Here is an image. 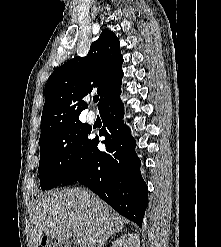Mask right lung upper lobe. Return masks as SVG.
<instances>
[{
    "instance_id": "1",
    "label": "right lung upper lobe",
    "mask_w": 221,
    "mask_h": 247,
    "mask_svg": "<svg viewBox=\"0 0 221 247\" xmlns=\"http://www.w3.org/2000/svg\"><path fill=\"white\" fill-rule=\"evenodd\" d=\"M123 57L114 32L103 30L91 44L86 57H75L49 77L45 86V104L41 117V136L79 121L87 108L83 97L96 90L99 111L121 94Z\"/></svg>"
}]
</instances>
